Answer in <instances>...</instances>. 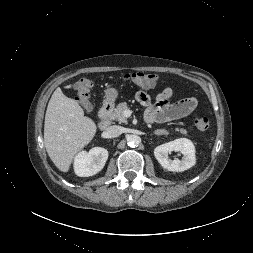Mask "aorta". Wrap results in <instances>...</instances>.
Listing matches in <instances>:
<instances>
[{
  "label": "aorta",
  "mask_w": 253,
  "mask_h": 253,
  "mask_svg": "<svg viewBox=\"0 0 253 253\" xmlns=\"http://www.w3.org/2000/svg\"><path fill=\"white\" fill-rule=\"evenodd\" d=\"M127 143L130 147L138 146L141 143V138L138 135H129Z\"/></svg>",
  "instance_id": "obj_1"
}]
</instances>
